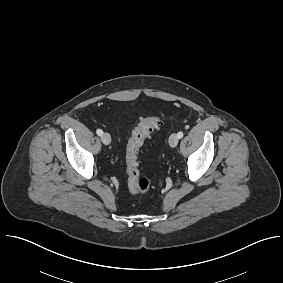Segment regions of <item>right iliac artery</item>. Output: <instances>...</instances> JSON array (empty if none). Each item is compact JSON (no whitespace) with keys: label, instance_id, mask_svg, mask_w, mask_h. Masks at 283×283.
<instances>
[{"label":"right iliac artery","instance_id":"82829eb1","mask_svg":"<svg viewBox=\"0 0 283 283\" xmlns=\"http://www.w3.org/2000/svg\"><path fill=\"white\" fill-rule=\"evenodd\" d=\"M97 135L102 136L103 135V131L101 129H97L96 131Z\"/></svg>","mask_w":283,"mask_h":283}]
</instances>
